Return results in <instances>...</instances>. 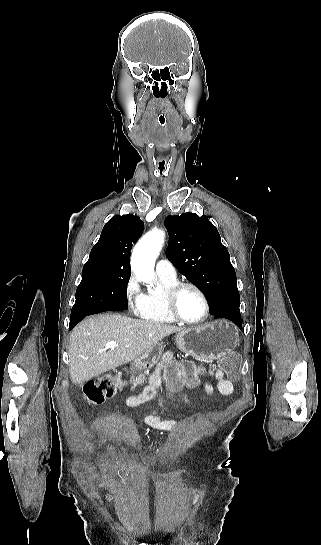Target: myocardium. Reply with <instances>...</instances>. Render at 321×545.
<instances>
[{
	"mask_svg": "<svg viewBox=\"0 0 321 545\" xmlns=\"http://www.w3.org/2000/svg\"><path fill=\"white\" fill-rule=\"evenodd\" d=\"M193 289L195 290L199 296L202 299L203 305H204V314L203 316L194 322L186 321L179 315L177 311V298L178 295L184 290V289ZM162 301L165 307L166 312L168 315L172 318V320L182 326L186 327H199L202 324H204L210 315V303L208 300L207 295L205 292L200 288L198 285L191 283V282H177L174 285L170 287H165L162 289L161 293Z\"/></svg>",
	"mask_w": 321,
	"mask_h": 545,
	"instance_id": "obj_1",
	"label": "myocardium"
}]
</instances>
